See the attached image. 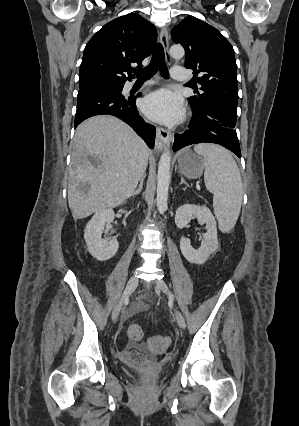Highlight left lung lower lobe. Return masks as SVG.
Returning a JSON list of instances; mask_svg holds the SVG:
<instances>
[{
	"label": "left lung lower lobe",
	"instance_id": "left-lung-lower-lobe-1",
	"mask_svg": "<svg viewBox=\"0 0 299 426\" xmlns=\"http://www.w3.org/2000/svg\"><path fill=\"white\" fill-rule=\"evenodd\" d=\"M237 115L220 106L194 107L191 125L183 134H175L173 151L197 143H216L241 157L236 134Z\"/></svg>",
	"mask_w": 299,
	"mask_h": 426
}]
</instances>
